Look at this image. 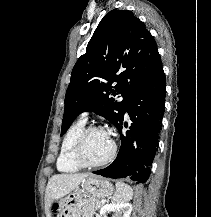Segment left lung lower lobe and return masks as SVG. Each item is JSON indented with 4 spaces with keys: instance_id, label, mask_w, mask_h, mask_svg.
I'll return each instance as SVG.
<instances>
[{
    "instance_id": "obj_1",
    "label": "left lung lower lobe",
    "mask_w": 211,
    "mask_h": 217,
    "mask_svg": "<svg viewBox=\"0 0 211 217\" xmlns=\"http://www.w3.org/2000/svg\"><path fill=\"white\" fill-rule=\"evenodd\" d=\"M165 94V73L161 66L133 92L125 110L130 116L129 130L122 134L124 115L115 126L121 138L116 159L110 166L94 174L115 179L127 177L136 183L147 181L157 151Z\"/></svg>"
}]
</instances>
